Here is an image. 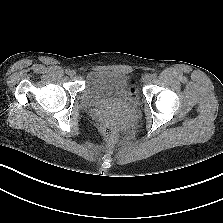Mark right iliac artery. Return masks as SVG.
<instances>
[{"label": "right iliac artery", "instance_id": "right-iliac-artery-1", "mask_svg": "<svg viewBox=\"0 0 223 223\" xmlns=\"http://www.w3.org/2000/svg\"><path fill=\"white\" fill-rule=\"evenodd\" d=\"M66 74H69L70 73V69H66Z\"/></svg>", "mask_w": 223, "mask_h": 223}]
</instances>
